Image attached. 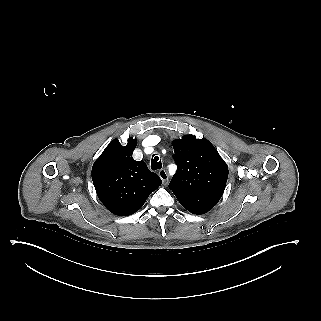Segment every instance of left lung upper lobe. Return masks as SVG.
<instances>
[{
    "mask_svg": "<svg viewBox=\"0 0 321 321\" xmlns=\"http://www.w3.org/2000/svg\"><path fill=\"white\" fill-rule=\"evenodd\" d=\"M178 170L169 188L175 195L223 192L228 166L207 139L185 135L173 141Z\"/></svg>",
    "mask_w": 321,
    "mask_h": 321,
    "instance_id": "1",
    "label": "left lung upper lobe"
}]
</instances>
